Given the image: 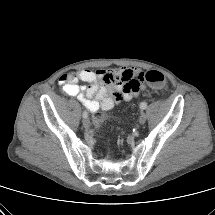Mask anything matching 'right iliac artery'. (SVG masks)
Masks as SVG:
<instances>
[{
  "label": "right iliac artery",
  "instance_id": "right-iliac-artery-1",
  "mask_svg": "<svg viewBox=\"0 0 215 215\" xmlns=\"http://www.w3.org/2000/svg\"><path fill=\"white\" fill-rule=\"evenodd\" d=\"M88 117V113L86 111L83 112V118H87Z\"/></svg>",
  "mask_w": 215,
  "mask_h": 215
}]
</instances>
